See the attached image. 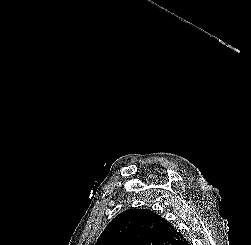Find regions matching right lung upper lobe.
Returning <instances> with one entry per match:
<instances>
[{
    "label": "right lung upper lobe",
    "instance_id": "right-lung-upper-lobe-1",
    "mask_svg": "<svg viewBox=\"0 0 251 245\" xmlns=\"http://www.w3.org/2000/svg\"><path fill=\"white\" fill-rule=\"evenodd\" d=\"M183 235L160 215L128 209L105 228L95 245H175Z\"/></svg>",
    "mask_w": 251,
    "mask_h": 245
}]
</instances>
